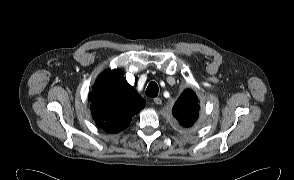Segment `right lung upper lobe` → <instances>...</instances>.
I'll use <instances>...</instances> for the list:
<instances>
[{"label":"right lung upper lobe","instance_id":"1","mask_svg":"<svg viewBox=\"0 0 294 180\" xmlns=\"http://www.w3.org/2000/svg\"><path fill=\"white\" fill-rule=\"evenodd\" d=\"M90 99L95 122L108 133H118L127 128L132 116L145 106L144 99L118 69H110L100 75Z\"/></svg>","mask_w":294,"mask_h":180}]
</instances>
